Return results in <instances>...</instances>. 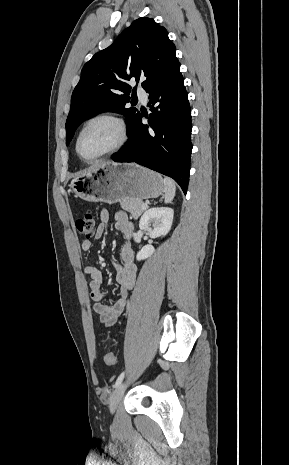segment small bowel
<instances>
[{"mask_svg":"<svg viewBox=\"0 0 289 465\" xmlns=\"http://www.w3.org/2000/svg\"><path fill=\"white\" fill-rule=\"evenodd\" d=\"M100 224L98 225L95 238L101 239L105 234L107 224L110 219L108 210L100 211ZM115 228L126 239H130L133 234V224L128 219L125 212L118 211L114 214ZM92 247V241L85 239L81 244L83 252H88ZM116 280L119 284V298L113 302L104 303L105 295L102 291L103 276L98 268L92 265L85 267V273L90 278V297L94 301L93 309L98 315L100 322L105 326L115 324L117 318L122 314L127 306L129 295L133 289L137 276V267L134 261V250L132 244L125 242L120 250V262L115 263Z\"/></svg>","mask_w":289,"mask_h":465,"instance_id":"small-bowel-1","label":"small bowel"}]
</instances>
